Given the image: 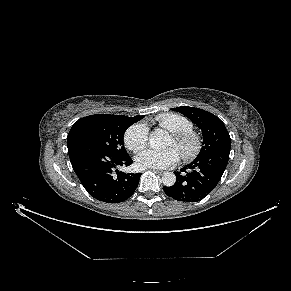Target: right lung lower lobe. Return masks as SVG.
<instances>
[{"mask_svg":"<svg viewBox=\"0 0 291 291\" xmlns=\"http://www.w3.org/2000/svg\"><path fill=\"white\" fill-rule=\"evenodd\" d=\"M72 167L87 192L106 203H120L135 192L141 174L119 172L129 166V155L119 156L86 141L68 145Z\"/></svg>","mask_w":291,"mask_h":291,"instance_id":"obj_1","label":"right lung lower lobe"}]
</instances>
